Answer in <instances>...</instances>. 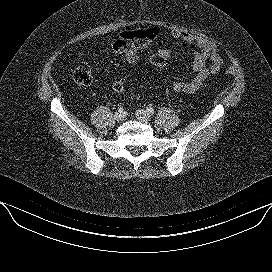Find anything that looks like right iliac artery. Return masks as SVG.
<instances>
[{"instance_id":"obj_1","label":"right iliac artery","mask_w":272,"mask_h":272,"mask_svg":"<svg viewBox=\"0 0 272 272\" xmlns=\"http://www.w3.org/2000/svg\"><path fill=\"white\" fill-rule=\"evenodd\" d=\"M123 110H124V109H123L122 107H119V108H118V112H120V113H123Z\"/></svg>"}]
</instances>
